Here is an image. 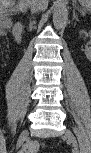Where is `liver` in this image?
<instances>
[{"mask_svg": "<svg viewBox=\"0 0 91 153\" xmlns=\"http://www.w3.org/2000/svg\"><path fill=\"white\" fill-rule=\"evenodd\" d=\"M32 0H19L18 5H15V0H1V5L4 9H10L11 11L20 10L24 11L31 5Z\"/></svg>", "mask_w": 91, "mask_h": 153, "instance_id": "1", "label": "liver"}]
</instances>
